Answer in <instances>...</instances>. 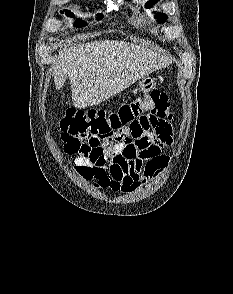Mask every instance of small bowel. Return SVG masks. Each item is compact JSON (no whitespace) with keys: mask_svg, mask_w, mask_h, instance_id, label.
<instances>
[{"mask_svg":"<svg viewBox=\"0 0 233 294\" xmlns=\"http://www.w3.org/2000/svg\"><path fill=\"white\" fill-rule=\"evenodd\" d=\"M137 120H128L125 137L132 142L120 141L107 147L103 156L77 157L75 172L99 189L112 192H132L157 176L170 162L161 153L173 144L172 130L167 117H159L156 110H137ZM120 155V156H115Z\"/></svg>","mask_w":233,"mask_h":294,"instance_id":"c3829d8e","label":"small bowel"}]
</instances>
